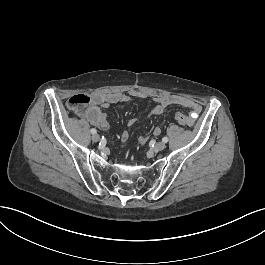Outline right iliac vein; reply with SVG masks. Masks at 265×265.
Here are the masks:
<instances>
[{
  "label": "right iliac vein",
  "mask_w": 265,
  "mask_h": 265,
  "mask_svg": "<svg viewBox=\"0 0 265 265\" xmlns=\"http://www.w3.org/2000/svg\"><path fill=\"white\" fill-rule=\"evenodd\" d=\"M91 140L93 142H98L100 140V136L98 134H93Z\"/></svg>",
  "instance_id": "1"
}]
</instances>
